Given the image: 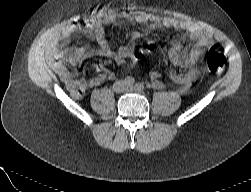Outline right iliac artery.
I'll list each match as a JSON object with an SVG mask.
<instances>
[{"label": "right iliac artery", "mask_w": 251, "mask_h": 192, "mask_svg": "<svg viewBox=\"0 0 251 192\" xmlns=\"http://www.w3.org/2000/svg\"><path fill=\"white\" fill-rule=\"evenodd\" d=\"M135 80L133 77H130V76H127L125 79H124V83L125 85L127 86H133Z\"/></svg>", "instance_id": "obj_1"}]
</instances>
